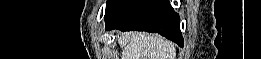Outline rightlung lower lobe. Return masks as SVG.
I'll return each instance as SVG.
<instances>
[{
	"label": "right lung lower lobe",
	"mask_w": 261,
	"mask_h": 59,
	"mask_svg": "<svg viewBox=\"0 0 261 59\" xmlns=\"http://www.w3.org/2000/svg\"><path fill=\"white\" fill-rule=\"evenodd\" d=\"M106 30L155 32L183 47L179 15L167 0H123L105 15Z\"/></svg>",
	"instance_id": "1"
}]
</instances>
